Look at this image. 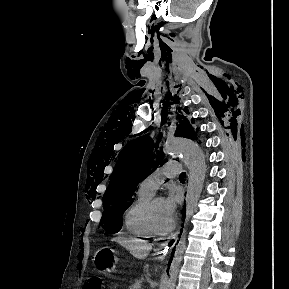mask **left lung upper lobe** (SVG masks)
<instances>
[{
	"mask_svg": "<svg viewBox=\"0 0 289 289\" xmlns=\"http://www.w3.org/2000/svg\"><path fill=\"white\" fill-rule=\"evenodd\" d=\"M193 122V121H192ZM194 130L187 120L182 121L175 136L195 139ZM156 144L145 135L129 142L119 155L111 181L103 196V216L100 225L106 233H116L122 227V216L133 202V194L138 183L151 174L158 165L163 164L164 154Z\"/></svg>",
	"mask_w": 289,
	"mask_h": 289,
	"instance_id": "left-lung-upper-lobe-1",
	"label": "left lung upper lobe"
}]
</instances>
